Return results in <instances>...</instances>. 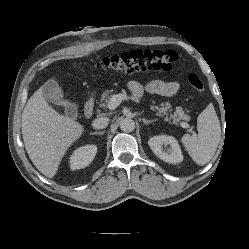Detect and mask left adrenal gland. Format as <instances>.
<instances>
[{"label": "left adrenal gland", "mask_w": 249, "mask_h": 249, "mask_svg": "<svg viewBox=\"0 0 249 249\" xmlns=\"http://www.w3.org/2000/svg\"><path fill=\"white\" fill-rule=\"evenodd\" d=\"M142 121H143V123L145 124V125H148V124H150V123H153V122H155L156 121V119H152V120H146V119H142Z\"/></svg>", "instance_id": "1"}]
</instances>
